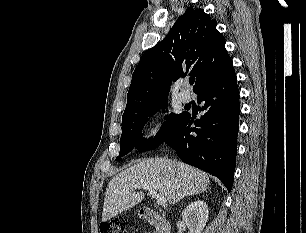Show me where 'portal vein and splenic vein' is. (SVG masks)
<instances>
[{"mask_svg":"<svg viewBox=\"0 0 306 233\" xmlns=\"http://www.w3.org/2000/svg\"><path fill=\"white\" fill-rule=\"evenodd\" d=\"M146 189L148 190L149 194L152 196V198H155L157 201V204L160 206H164L166 204V198L160 194H158L153 188L146 184H136L131 187V189Z\"/></svg>","mask_w":306,"mask_h":233,"instance_id":"18ae733b","label":"portal vein and splenic vein"}]
</instances>
